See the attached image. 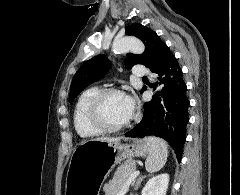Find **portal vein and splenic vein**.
Listing matches in <instances>:
<instances>
[{"instance_id":"1","label":"portal vein and splenic vein","mask_w":240,"mask_h":195,"mask_svg":"<svg viewBox=\"0 0 240 195\" xmlns=\"http://www.w3.org/2000/svg\"><path fill=\"white\" fill-rule=\"evenodd\" d=\"M140 171H133V173H130V177H127V182H125L122 187L120 188V193L118 195H126L125 190L128 189V187L131 186V183L134 182L135 177L139 175Z\"/></svg>"}]
</instances>
